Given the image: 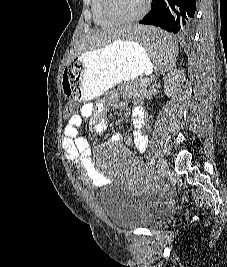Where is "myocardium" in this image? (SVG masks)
<instances>
[{
  "mask_svg": "<svg viewBox=\"0 0 227 267\" xmlns=\"http://www.w3.org/2000/svg\"><path fill=\"white\" fill-rule=\"evenodd\" d=\"M150 5V0H144L142 9L136 15L129 18H119L115 16L110 10V0H102V11L106 18L116 24H129L142 19L147 13Z\"/></svg>",
  "mask_w": 227,
  "mask_h": 267,
  "instance_id": "obj_1",
  "label": "myocardium"
}]
</instances>
